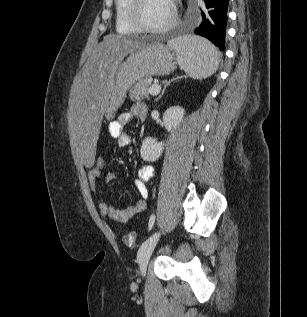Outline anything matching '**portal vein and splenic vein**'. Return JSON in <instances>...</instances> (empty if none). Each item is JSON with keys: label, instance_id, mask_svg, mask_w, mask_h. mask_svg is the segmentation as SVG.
I'll return each mask as SVG.
<instances>
[{"label": "portal vein and splenic vein", "instance_id": "portal-vein-and-splenic-vein-1", "mask_svg": "<svg viewBox=\"0 0 307 317\" xmlns=\"http://www.w3.org/2000/svg\"><path fill=\"white\" fill-rule=\"evenodd\" d=\"M160 91H161V86L160 85H158V84H154V85H152L150 88H149V90H148V92H149V94H151V95H158L159 93H160Z\"/></svg>", "mask_w": 307, "mask_h": 317}]
</instances>
